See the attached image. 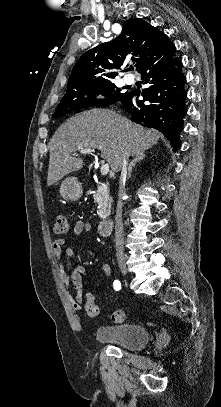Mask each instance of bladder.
I'll return each instance as SVG.
<instances>
[{
    "label": "bladder",
    "mask_w": 221,
    "mask_h": 407,
    "mask_svg": "<svg viewBox=\"0 0 221 407\" xmlns=\"http://www.w3.org/2000/svg\"><path fill=\"white\" fill-rule=\"evenodd\" d=\"M96 340L111 343L127 350L143 349L150 340V330L143 325L115 324L100 326L95 330Z\"/></svg>",
    "instance_id": "obj_1"
}]
</instances>
